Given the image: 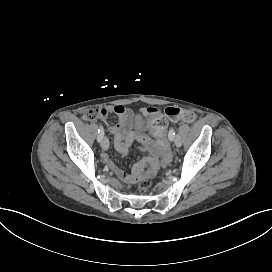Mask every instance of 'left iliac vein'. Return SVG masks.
I'll return each instance as SVG.
<instances>
[{
    "instance_id": "4c4485c4",
    "label": "left iliac vein",
    "mask_w": 272,
    "mask_h": 272,
    "mask_svg": "<svg viewBox=\"0 0 272 272\" xmlns=\"http://www.w3.org/2000/svg\"><path fill=\"white\" fill-rule=\"evenodd\" d=\"M174 144H175V146H176L177 148H180V146H181V141H180V139H179L178 137L175 138Z\"/></svg>"
}]
</instances>
